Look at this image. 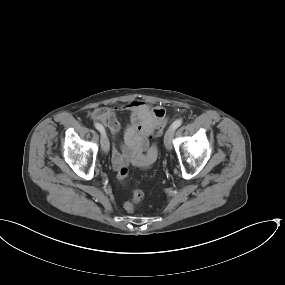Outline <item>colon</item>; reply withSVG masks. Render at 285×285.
<instances>
[{"mask_svg":"<svg viewBox=\"0 0 285 285\" xmlns=\"http://www.w3.org/2000/svg\"><path fill=\"white\" fill-rule=\"evenodd\" d=\"M166 120H161L157 123V126L153 132V137H159L165 127ZM129 169L127 167H122L117 171V179L120 183L126 184L128 181ZM143 199V193L141 190L135 189L132 191V198L125 202L124 208L128 212H133L135 210L136 204Z\"/></svg>","mask_w":285,"mask_h":285,"instance_id":"obj_1","label":"colon"}]
</instances>
